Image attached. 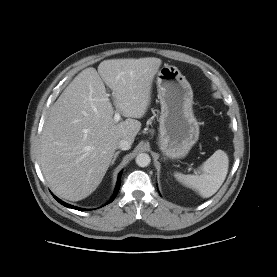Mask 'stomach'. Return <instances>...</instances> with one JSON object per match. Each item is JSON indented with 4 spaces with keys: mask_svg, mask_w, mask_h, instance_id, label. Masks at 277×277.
<instances>
[{
    "mask_svg": "<svg viewBox=\"0 0 277 277\" xmlns=\"http://www.w3.org/2000/svg\"><path fill=\"white\" fill-rule=\"evenodd\" d=\"M156 84L161 104L159 148L168 158H183L199 138L192 88L179 69L168 64L158 71Z\"/></svg>",
    "mask_w": 277,
    "mask_h": 277,
    "instance_id": "stomach-1",
    "label": "stomach"
}]
</instances>
